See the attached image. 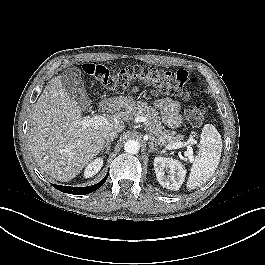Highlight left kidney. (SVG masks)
Instances as JSON below:
<instances>
[{
	"label": "left kidney",
	"instance_id": "obj_1",
	"mask_svg": "<svg viewBox=\"0 0 265 265\" xmlns=\"http://www.w3.org/2000/svg\"><path fill=\"white\" fill-rule=\"evenodd\" d=\"M154 169L158 182L164 188L177 191L185 180V168L173 158L155 157Z\"/></svg>",
	"mask_w": 265,
	"mask_h": 265
}]
</instances>
